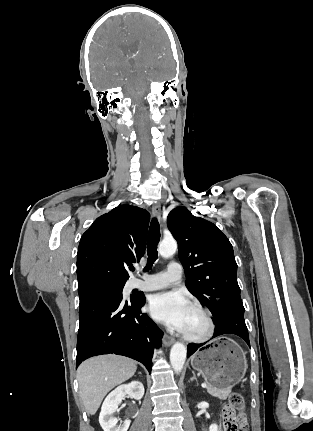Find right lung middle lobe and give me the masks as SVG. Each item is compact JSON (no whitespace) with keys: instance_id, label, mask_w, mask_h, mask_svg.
Listing matches in <instances>:
<instances>
[{"instance_id":"obj_1","label":"right lung middle lobe","mask_w":313,"mask_h":431,"mask_svg":"<svg viewBox=\"0 0 313 431\" xmlns=\"http://www.w3.org/2000/svg\"><path fill=\"white\" fill-rule=\"evenodd\" d=\"M107 287L123 290L124 284H121V285H113V286H107Z\"/></svg>"}]
</instances>
